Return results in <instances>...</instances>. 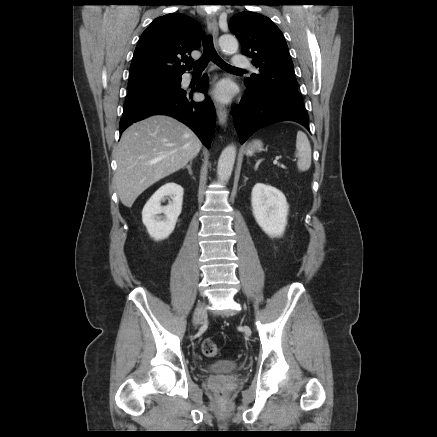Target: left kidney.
Instances as JSON below:
<instances>
[{"instance_id": "5707ae66", "label": "left kidney", "mask_w": 437, "mask_h": 437, "mask_svg": "<svg viewBox=\"0 0 437 437\" xmlns=\"http://www.w3.org/2000/svg\"><path fill=\"white\" fill-rule=\"evenodd\" d=\"M253 216L261 229L270 237H280L287 225L289 205L277 188L256 183L251 193Z\"/></svg>"}]
</instances>
